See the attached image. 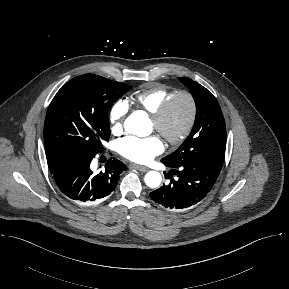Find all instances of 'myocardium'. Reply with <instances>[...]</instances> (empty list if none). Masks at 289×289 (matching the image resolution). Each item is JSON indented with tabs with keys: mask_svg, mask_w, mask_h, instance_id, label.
Instances as JSON below:
<instances>
[{
	"mask_svg": "<svg viewBox=\"0 0 289 289\" xmlns=\"http://www.w3.org/2000/svg\"><path fill=\"white\" fill-rule=\"evenodd\" d=\"M185 98L188 100L190 105V114L189 118L184 126V128L176 135H169L165 128L164 124L173 109L176 102ZM198 117V103L195 96L187 90L176 91L171 95L163 104L158 108L156 112L151 114V119L155 125L156 131L164 138V140L173 146L183 143L188 137L192 134L194 127L197 122Z\"/></svg>",
	"mask_w": 289,
	"mask_h": 289,
	"instance_id": "myocardium-1",
	"label": "myocardium"
}]
</instances>
